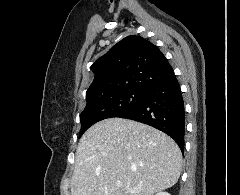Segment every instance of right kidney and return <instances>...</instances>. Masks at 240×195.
<instances>
[{"instance_id":"1","label":"right kidney","mask_w":240,"mask_h":195,"mask_svg":"<svg viewBox=\"0 0 240 195\" xmlns=\"http://www.w3.org/2000/svg\"><path fill=\"white\" fill-rule=\"evenodd\" d=\"M156 195H170V193H167V191H158Z\"/></svg>"}]
</instances>
